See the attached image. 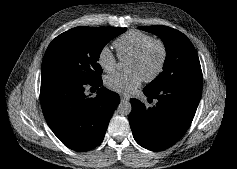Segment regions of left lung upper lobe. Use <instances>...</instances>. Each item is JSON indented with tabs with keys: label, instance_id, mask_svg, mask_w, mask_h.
Instances as JSON below:
<instances>
[{
	"label": "left lung upper lobe",
	"instance_id": "1",
	"mask_svg": "<svg viewBox=\"0 0 237 169\" xmlns=\"http://www.w3.org/2000/svg\"><path fill=\"white\" fill-rule=\"evenodd\" d=\"M139 28L159 36L166 48L163 72L145 89L157 90L176 83L202 82L198 55L190 40L183 33L167 26H144Z\"/></svg>",
	"mask_w": 237,
	"mask_h": 169
}]
</instances>
